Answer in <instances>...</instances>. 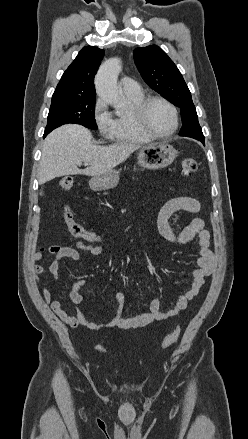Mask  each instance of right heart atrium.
Returning <instances> with one entry per match:
<instances>
[{
    "mask_svg": "<svg viewBox=\"0 0 248 439\" xmlns=\"http://www.w3.org/2000/svg\"><path fill=\"white\" fill-rule=\"evenodd\" d=\"M93 119L100 134L103 137H110L113 126V116L109 112L107 104L102 98H98L95 102Z\"/></svg>",
    "mask_w": 248,
    "mask_h": 439,
    "instance_id": "d8ad5b80",
    "label": "right heart atrium"
}]
</instances>
